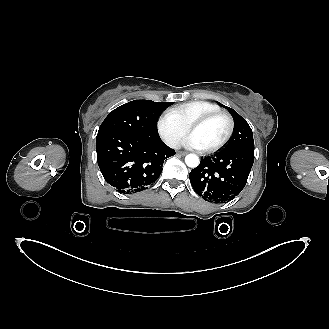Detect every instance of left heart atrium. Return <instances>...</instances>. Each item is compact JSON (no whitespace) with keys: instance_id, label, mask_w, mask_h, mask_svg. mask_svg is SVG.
I'll use <instances>...</instances> for the list:
<instances>
[{"instance_id":"39dd6f15","label":"left heart atrium","mask_w":329,"mask_h":329,"mask_svg":"<svg viewBox=\"0 0 329 329\" xmlns=\"http://www.w3.org/2000/svg\"><path fill=\"white\" fill-rule=\"evenodd\" d=\"M182 145L184 147L190 148V149H196V150H201L202 149L201 145L198 142V140L191 134L188 137L185 138Z\"/></svg>"}]
</instances>
